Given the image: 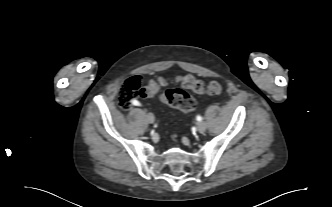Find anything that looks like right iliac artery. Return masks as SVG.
I'll return each instance as SVG.
<instances>
[{"mask_svg": "<svg viewBox=\"0 0 332 207\" xmlns=\"http://www.w3.org/2000/svg\"><path fill=\"white\" fill-rule=\"evenodd\" d=\"M132 104L135 105V106H140V103L137 100H133Z\"/></svg>", "mask_w": 332, "mask_h": 207, "instance_id": "1", "label": "right iliac artery"}]
</instances>
